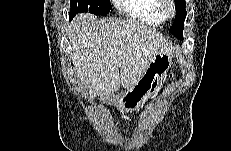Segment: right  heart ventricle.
Instances as JSON below:
<instances>
[{
  "mask_svg": "<svg viewBox=\"0 0 231 151\" xmlns=\"http://www.w3.org/2000/svg\"><path fill=\"white\" fill-rule=\"evenodd\" d=\"M120 8L131 24L157 26L164 22L159 13V0H125L120 2Z\"/></svg>",
  "mask_w": 231,
  "mask_h": 151,
  "instance_id": "right-heart-ventricle-1",
  "label": "right heart ventricle"
}]
</instances>
